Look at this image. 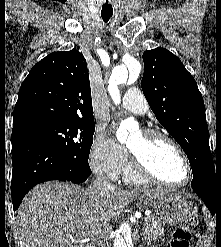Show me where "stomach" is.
<instances>
[{"label": "stomach", "instance_id": "stomach-1", "mask_svg": "<svg viewBox=\"0 0 221 247\" xmlns=\"http://www.w3.org/2000/svg\"><path fill=\"white\" fill-rule=\"evenodd\" d=\"M139 199L153 207L161 222L168 225L179 224L190 213V205L186 199L174 193H167L155 199L141 195Z\"/></svg>", "mask_w": 221, "mask_h": 247}]
</instances>
